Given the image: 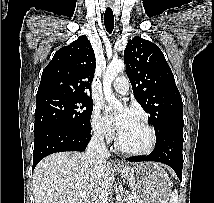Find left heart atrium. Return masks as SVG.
<instances>
[{
	"mask_svg": "<svg viewBox=\"0 0 214 203\" xmlns=\"http://www.w3.org/2000/svg\"><path fill=\"white\" fill-rule=\"evenodd\" d=\"M108 113L119 132L123 131L128 125L137 120L136 112L129 106H125L117 114L112 113L111 110H108Z\"/></svg>",
	"mask_w": 214,
	"mask_h": 203,
	"instance_id": "1",
	"label": "left heart atrium"
}]
</instances>
